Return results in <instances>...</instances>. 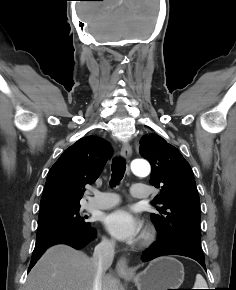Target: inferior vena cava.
<instances>
[{
	"mask_svg": "<svg viewBox=\"0 0 236 290\" xmlns=\"http://www.w3.org/2000/svg\"><path fill=\"white\" fill-rule=\"evenodd\" d=\"M115 240L102 239L95 247L91 262L96 267L93 290H102V278L114 259Z\"/></svg>",
	"mask_w": 236,
	"mask_h": 290,
	"instance_id": "1",
	"label": "inferior vena cava"
}]
</instances>
